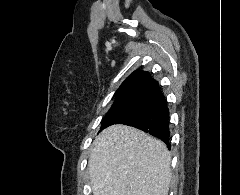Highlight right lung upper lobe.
Instances as JSON below:
<instances>
[{"instance_id":"cb5924a9","label":"right lung upper lobe","mask_w":240,"mask_h":195,"mask_svg":"<svg viewBox=\"0 0 240 195\" xmlns=\"http://www.w3.org/2000/svg\"><path fill=\"white\" fill-rule=\"evenodd\" d=\"M158 86V82L145 71L136 70L130 74L121 84L116 95L122 94H146L148 95Z\"/></svg>"}]
</instances>
